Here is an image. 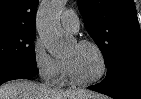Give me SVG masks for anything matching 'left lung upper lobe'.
I'll use <instances>...</instances> for the list:
<instances>
[{"label":"left lung upper lobe","mask_w":141,"mask_h":99,"mask_svg":"<svg viewBox=\"0 0 141 99\" xmlns=\"http://www.w3.org/2000/svg\"><path fill=\"white\" fill-rule=\"evenodd\" d=\"M85 27L100 48L107 75L141 67V31L133 0H78Z\"/></svg>","instance_id":"5c2ea615"}]
</instances>
